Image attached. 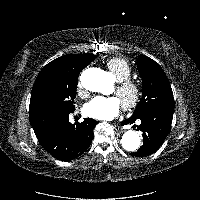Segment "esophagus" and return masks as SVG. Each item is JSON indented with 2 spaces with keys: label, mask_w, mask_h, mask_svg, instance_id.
<instances>
[{
  "label": "esophagus",
  "mask_w": 200,
  "mask_h": 200,
  "mask_svg": "<svg viewBox=\"0 0 200 200\" xmlns=\"http://www.w3.org/2000/svg\"><path fill=\"white\" fill-rule=\"evenodd\" d=\"M113 128H114V130H115L116 132H122L121 127H119L118 125H114Z\"/></svg>",
  "instance_id": "obj_1"
}]
</instances>
